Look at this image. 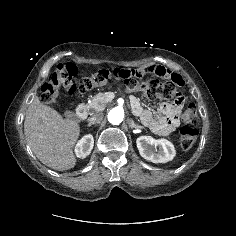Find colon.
I'll return each instance as SVG.
<instances>
[{
    "mask_svg": "<svg viewBox=\"0 0 236 236\" xmlns=\"http://www.w3.org/2000/svg\"><path fill=\"white\" fill-rule=\"evenodd\" d=\"M114 70L101 69L78 80L77 69L74 65L70 63L59 64L51 71L48 79L43 83L41 99L45 104H54L61 90L69 96L78 97L87 91L107 84L112 79H116L113 75ZM118 81L123 83L130 92L140 89L150 99L167 101L173 107H179L182 104L181 89L172 80L161 81L158 78H151L143 83L139 81ZM181 120L185 125L180 130V144L183 149L188 150L194 145L198 137V131L189 125L196 123L198 120L196 106L193 104L188 105L181 114Z\"/></svg>",
    "mask_w": 236,
    "mask_h": 236,
    "instance_id": "obj_1",
    "label": "colon"
}]
</instances>
